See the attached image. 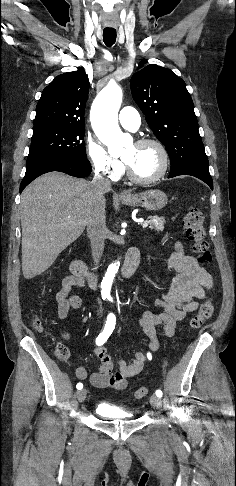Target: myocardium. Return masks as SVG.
<instances>
[{
	"instance_id": "obj_1",
	"label": "myocardium",
	"mask_w": 236,
	"mask_h": 486,
	"mask_svg": "<svg viewBox=\"0 0 236 486\" xmlns=\"http://www.w3.org/2000/svg\"><path fill=\"white\" fill-rule=\"evenodd\" d=\"M150 144L156 146L157 149L160 152L161 167L155 175L148 177V178H141V177H138L137 175H135L134 172L132 171V169L130 168V166L128 165V163L126 161H124L125 166H126L127 177L129 178V180H131L134 183L142 184V185L155 183V182L159 181L161 178H163L165 176L167 170H168L169 154H168L166 147L164 146V144L161 141H159L155 138H143V139H140V140L135 142V145H137V146H144V145H150Z\"/></svg>"
}]
</instances>
